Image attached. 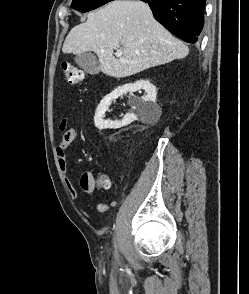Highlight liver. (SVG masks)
Returning <instances> with one entry per match:
<instances>
[{"instance_id": "6515ba94", "label": "liver", "mask_w": 249, "mask_h": 294, "mask_svg": "<svg viewBox=\"0 0 249 294\" xmlns=\"http://www.w3.org/2000/svg\"><path fill=\"white\" fill-rule=\"evenodd\" d=\"M122 50V58L114 50ZM62 51L65 54H97L101 71L122 78L145 69L182 59L188 47L158 23L148 4L115 0L90 12L87 21L71 29Z\"/></svg>"}]
</instances>
